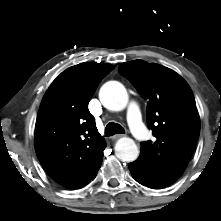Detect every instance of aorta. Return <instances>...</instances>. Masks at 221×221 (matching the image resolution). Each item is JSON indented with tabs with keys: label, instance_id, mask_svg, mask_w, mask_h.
<instances>
[{
	"label": "aorta",
	"instance_id": "obj_1",
	"mask_svg": "<svg viewBox=\"0 0 221 221\" xmlns=\"http://www.w3.org/2000/svg\"><path fill=\"white\" fill-rule=\"evenodd\" d=\"M102 105L112 111L123 110L128 103V94L125 87L118 81L105 83L99 91ZM117 158L124 162H133L139 156V149L131 138H121L115 145Z\"/></svg>",
	"mask_w": 221,
	"mask_h": 221
}]
</instances>
